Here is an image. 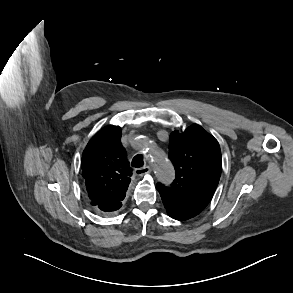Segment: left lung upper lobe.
<instances>
[{"mask_svg": "<svg viewBox=\"0 0 293 293\" xmlns=\"http://www.w3.org/2000/svg\"><path fill=\"white\" fill-rule=\"evenodd\" d=\"M169 158L176 179L170 187L158 184L157 190L199 214L213 197L221 175L222 158L217 140L199 125H192L184 132L174 131L170 135Z\"/></svg>", "mask_w": 293, "mask_h": 293, "instance_id": "5c2ea615", "label": "left lung upper lobe"}]
</instances>
